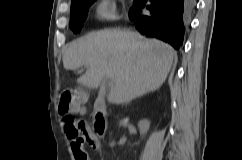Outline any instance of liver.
I'll use <instances>...</instances> for the list:
<instances>
[{"instance_id":"obj_1","label":"liver","mask_w":242,"mask_h":160,"mask_svg":"<svg viewBox=\"0 0 242 160\" xmlns=\"http://www.w3.org/2000/svg\"><path fill=\"white\" fill-rule=\"evenodd\" d=\"M176 51L168 44L128 30L94 32L72 42L63 55L66 70L87 67L77 82L97 89L103 78L114 82L108 102L123 104L164 83Z\"/></svg>"}]
</instances>
